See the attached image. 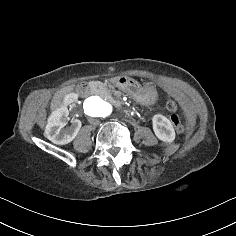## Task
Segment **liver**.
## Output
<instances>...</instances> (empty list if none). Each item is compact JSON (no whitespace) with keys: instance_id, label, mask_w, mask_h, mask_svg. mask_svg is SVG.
<instances>
[{"instance_id":"6515ba94","label":"liver","mask_w":236,"mask_h":236,"mask_svg":"<svg viewBox=\"0 0 236 236\" xmlns=\"http://www.w3.org/2000/svg\"><path fill=\"white\" fill-rule=\"evenodd\" d=\"M75 85L66 86L58 90L52 97L50 102V111L53 112L56 108H58L61 104L64 103L65 97L68 94H72L74 92Z\"/></svg>"}]
</instances>
